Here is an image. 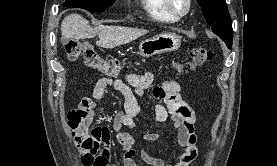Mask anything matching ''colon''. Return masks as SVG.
I'll return each instance as SVG.
<instances>
[{
  "label": "colon",
  "mask_w": 277,
  "mask_h": 166,
  "mask_svg": "<svg viewBox=\"0 0 277 166\" xmlns=\"http://www.w3.org/2000/svg\"><path fill=\"white\" fill-rule=\"evenodd\" d=\"M64 49L67 58L70 61H75L83 57L87 66L98 70L107 76H117L123 68V62L117 58L105 59L102 58L92 45L86 42L69 39L64 44ZM215 53L208 48L198 47L191 50L188 60L185 64H175L178 70H194L213 60ZM72 136L78 142H81L89 133V126L85 121V113L75 111L74 119L69 126Z\"/></svg>",
  "instance_id": "obj_1"
}]
</instances>
